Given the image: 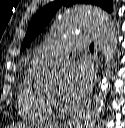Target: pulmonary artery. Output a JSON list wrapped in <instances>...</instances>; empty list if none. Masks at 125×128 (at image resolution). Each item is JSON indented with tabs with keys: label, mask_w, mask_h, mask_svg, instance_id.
<instances>
[{
	"label": "pulmonary artery",
	"mask_w": 125,
	"mask_h": 128,
	"mask_svg": "<svg viewBox=\"0 0 125 128\" xmlns=\"http://www.w3.org/2000/svg\"><path fill=\"white\" fill-rule=\"evenodd\" d=\"M87 47L86 37L82 35L61 39L44 46L33 54L32 63L43 66L67 58L72 52Z\"/></svg>",
	"instance_id": "pulmonary-artery-1"
}]
</instances>
